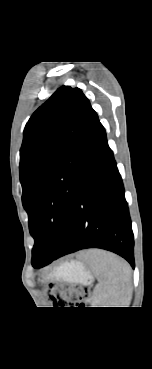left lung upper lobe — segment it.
<instances>
[{
    "mask_svg": "<svg viewBox=\"0 0 152 369\" xmlns=\"http://www.w3.org/2000/svg\"><path fill=\"white\" fill-rule=\"evenodd\" d=\"M99 122L79 88L60 87L31 116L20 149L32 265L54 257L70 227L87 149Z\"/></svg>",
    "mask_w": 152,
    "mask_h": 369,
    "instance_id": "left-lung-upper-lobe-1",
    "label": "left lung upper lobe"
}]
</instances>
